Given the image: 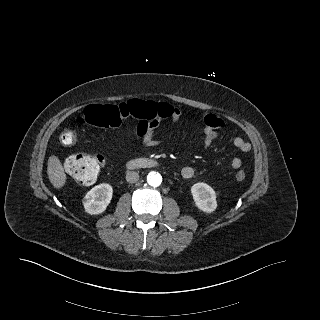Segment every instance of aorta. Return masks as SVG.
Masks as SVG:
<instances>
[{
  "mask_svg": "<svg viewBox=\"0 0 320 320\" xmlns=\"http://www.w3.org/2000/svg\"><path fill=\"white\" fill-rule=\"evenodd\" d=\"M147 182L152 187H158L162 183V176L160 173L152 171L147 176Z\"/></svg>",
  "mask_w": 320,
  "mask_h": 320,
  "instance_id": "762f6f07",
  "label": "aorta"
}]
</instances>
